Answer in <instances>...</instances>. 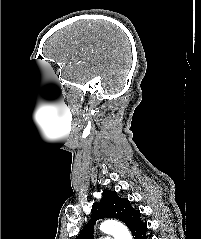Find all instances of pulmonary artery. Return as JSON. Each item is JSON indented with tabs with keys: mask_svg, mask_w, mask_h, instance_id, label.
Instances as JSON below:
<instances>
[{
	"mask_svg": "<svg viewBox=\"0 0 201 239\" xmlns=\"http://www.w3.org/2000/svg\"><path fill=\"white\" fill-rule=\"evenodd\" d=\"M102 239H113V237L112 236H104V237H102Z\"/></svg>",
	"mask_w": 201,
	"mask_h": 239,
	"instance_id": "obj_1",
	"label": "pulmonary artery"
}]
</instances>
